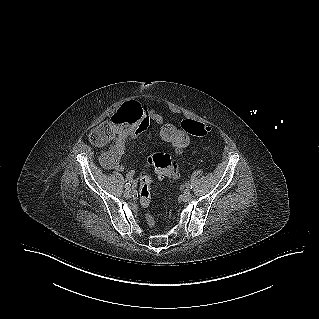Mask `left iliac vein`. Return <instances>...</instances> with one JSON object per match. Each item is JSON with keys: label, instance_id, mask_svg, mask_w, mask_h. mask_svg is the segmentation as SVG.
<instances>
[{"label": "left iliac vein", "instance_id": "1", "mask_svg": "<svg viewBox=\"0 0 319 319\" xmlns=\"http://www.w3.org/2000/svg\"><path fill=\"white\" fill-rule=\"evenodd\" d=\"M180 199L183 201V202H188L192 199V194L186 190L181 196H180Z\"/></svg>", "mask_w": 319, "mask_h": 319}]
</instances>
